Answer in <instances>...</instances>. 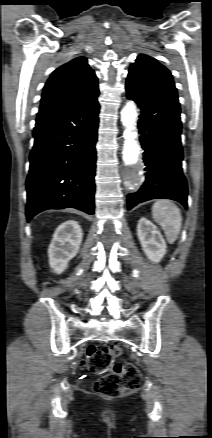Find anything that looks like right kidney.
Listing matches in <instances>:
<instances>
[{"instance_id": "1", "label": "right kidney", "mask_w": 212, "mask_h": 438, "mask_svg": "<svg viewBox=\"0 0 212 438\" xmlns=\"http://www.w3.org/2000/svg\"><path fill=\"white\" fill-rule=\"evenodd\" d=\"M83 233L77 221L68 220L58 226L48 249L49 264L57 274L62 273L68 262L76 256Z\"/></svg>"}]
</instances>
